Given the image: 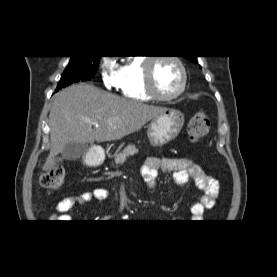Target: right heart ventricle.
<instances>
[{
	"label": "right heart ventricle",
	"mask_w": 277,
	"mask_h": 277,
	"mask_svg": "<svg viewBox=\"0 0 277 277\" xmlns=\"http://www.w3.org/2000/svg\"><path fill=\"white\" fill-rule=\"evenodd\" d=\"M144 63L143 56H136L129 58L119 68V88L124 97L142 102L152 100L144 88Z\"/></svg>",
	"instance_id": "obj_1"
}]
</instances>
